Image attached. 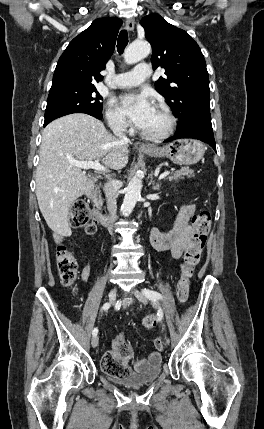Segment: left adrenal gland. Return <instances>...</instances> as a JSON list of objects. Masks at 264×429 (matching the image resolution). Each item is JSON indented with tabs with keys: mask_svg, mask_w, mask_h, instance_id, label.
<instances>
[{
	"mask_svg": "<svg viewBox=\"0 0 264 429\" xmlns=\"http://www.w3.org/2000/svg\"><path fill=\"white\" fill-rule=\"evenodd\" d=\"M153 185V190H158L159 189V187H160V184L159 183H155V181H153V176H152V174L150 175V182H149V185Z\"/></svg>",
	"mask_w": 264,
	"mask_h": 429,
	"instance_id": "obj_1",
	"label": "left adrenal gland"
}]
</instances>
